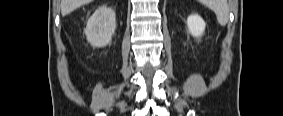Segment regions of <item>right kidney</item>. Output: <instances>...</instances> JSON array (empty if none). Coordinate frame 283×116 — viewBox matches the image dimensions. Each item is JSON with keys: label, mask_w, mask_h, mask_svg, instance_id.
Returning <instances> with one entry per match:
<instances>
[{"label": "right kidney", "mask_w": 283, "mask_h": 116, "mask_svg": "<svg viewBox=\"0 0 283 116\" xmlns=\"http://www.w3.org/2000/svg\"><path fill=\"white\" fill-rule=\"evenodd\" d=\"M115 29V12L111 8L101 6L89 18L84 33L93 47H104L111 43Z\"/></svg>", "instance_id": "ca27d5eb"}]
</instances>
